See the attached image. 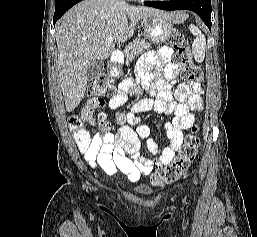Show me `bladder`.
I'll return each instance as SVG.
<instances>
[{"instance_id": "obj_1", "label": "bladder", "mask_w": 257, "mask_h": 237, "mask_svg": "<svg viewBox=\"0 0 257 237\" xmlns=\"http://www.w3.org/2000/svg\"><path fill=\"white\" fill-rule=\"evenodd\" d=\"M135 190L138 194L143 196H150L153 193V190L147 185H138Z\"/></svg>"}]
</instances>
